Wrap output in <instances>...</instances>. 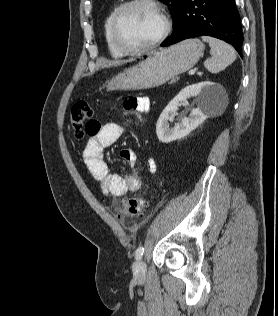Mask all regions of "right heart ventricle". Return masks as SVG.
Instances as JSON below:
<instances>
[{
  "mask_svg": "<svg viewBox=\"0 0 278 316\" xmlns=\"http://www.w3.org/2000/svg\"><path fill=\"white\" fill-rule=\"evenodd\" d=\"M121 4L119 2H114L110 5L108 10L105 13V16L102 21V31L107 44L109 53L114 58H121L125 55L114 43L112 32H111V22L114 13L119 8Z\"/></svg>",
  "mask_w": 278,
  "mask_h": 316,
  "instance_id": "obj_1",
  "label": "right heart ventricle"
}]
</instances>
